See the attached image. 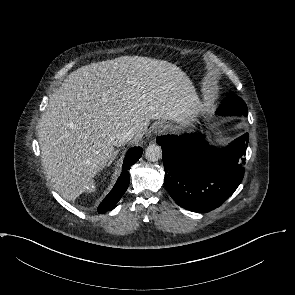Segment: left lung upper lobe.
<instances>
[{"mask_svg": "<svg viewBox=\"0 0 295 295\" xmlns=\"http://www.w3.org/2000/svg\"><path fill=\"white\" fill-rule=\"evenodd\" d=\"M220 108L226 112H236L241 115H247V106L245 102L240 97L235 95L226 97Z\"/></svg>", "mask_w": 295, "mask_h": 295, "instance_id": "5c2ea615", "label": "left lung upper lobe"}]
</instances>
